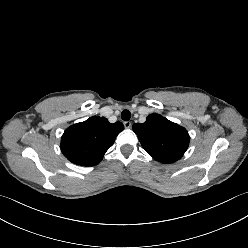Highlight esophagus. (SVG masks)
I'll return each instance as SVG.
<instances>
[{
    "mask_svg": "<svg viewBox=\"0 0 248 248\" xmlns=\"http://www.w3.org/2000/svg\"><path fill=\"white\" fill-rule=\"evenodd\" d=\"M123 124L126 129H129L132 126V123L130 121H125Z\"/></svg>",
    "mask_w": 248,
    "mask_h": 248,
    "instance_id": "obj_1",
    "label": "esophagus"
}]
</instances>
